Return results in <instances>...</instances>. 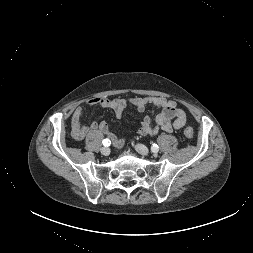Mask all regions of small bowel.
Masks as SVG:
<instances>
[{
    "instance_id": "c3829d8e",
    "label": "small bowel",
    "mask_w": 253,
    "mask_h": 253,
    "mask_svg": "<svg viewBox=\"0 0 253 253\" xmlns=\"http://www.w3.org/2000/svg\"><path fill=\"white\" fill-rule=\"evenodd\" d=\"M87 105L112 109L117 118L123 116L127 107H133L139 112H144L148 106L159 109L160 112L155 117V126L152 125L151 116L147 115L143 118L138 129V133L142 136H156L160 131L170 133L174 129L182 128L186 123L185 112L177 108L174 101L162 97L148 96L127 99L96 97L90 99ZM83 112L82 106L77 107L73 112L71 118V136L73 139L83 140L89 133L99 130L110 137L115 146L121 147L124 144V139L115 136L106 122L97 123L94 121L88 125H83L81 122Z\"/></svg>"
}]
</instances>
